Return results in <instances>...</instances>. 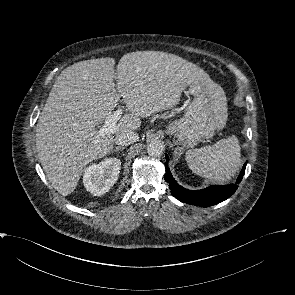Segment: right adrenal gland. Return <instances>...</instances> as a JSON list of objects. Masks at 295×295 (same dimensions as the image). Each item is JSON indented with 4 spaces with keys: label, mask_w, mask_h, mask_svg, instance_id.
I'll use <instances>...</instances> for the list:
<instances>
[{
    "label": "right adrenal gland",
    "mask_w": 295,
    "mask_h": 295,
    "mask_svg": "<svg viewBox=\"0 0 295 295\" xmlns=\"http://www.w3.org/2000/svg\"><path fill=\"white\" fill-rule=\"evenodd\" d=\"M124 149H125L124 146H117V147H115V149H112L111 152H112V153H113V152H118V151H122V150H124Z\"/></svg>",
    "instance_id": "1"
}]
</instances>
